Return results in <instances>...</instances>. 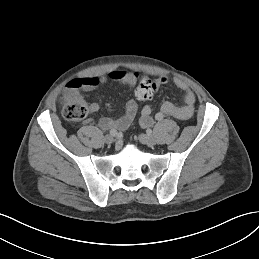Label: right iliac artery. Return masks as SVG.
<instances>
[{"mask_svg":"<svg viewBox=\"0 0 259 259\" xmlns=\"http://www.w3.org/2000/svg\"><path fill=\"white\" fill-rule=\"evenodd\" d=\"M110 135H112V136H116V135H117L116 130L111 129V130H110Z\"/></svg>","mask_w":259,"mask_h":259,"instance_id":"right-iliac-artery-1","label":"right iliac artery"}]
</instances>
